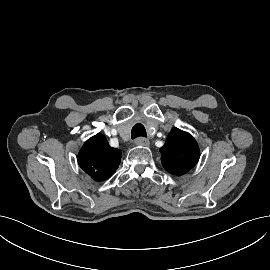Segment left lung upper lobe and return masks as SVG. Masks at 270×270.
<instances>
[{"instance_id": "1", "label": "left lung upper lobe", "mask_w": 270, "mask_h": 270, "mask_svg": "<svg viewBox=\"0 0 270 270\" xmlns=\"http://www.w3.org/2000/svg\"><path fill=\"white\" fill-rule=\"evenodd\" d=\"M160 152L163 167L177 176L187 173L200 157L195 139L178 128L171 130Z\"/></svg>"}]
</instances>
